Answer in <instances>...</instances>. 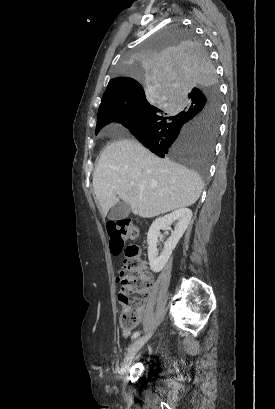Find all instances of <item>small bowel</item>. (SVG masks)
I'll list each match as a JSON object with an SVG mask.
<instances>
[{"mask_svg":"<svg viewBox=\"0 0 275 409\" xmlns=\"http://www.w3.org/2000/svg\"><path fill=\"white\" fill-rule=\"evenodd\" d=\"M115 283L118 285V284H121L122 283V278L121 277H116L115 278ZM129 335H130V332L128 331V330H125L124 332H123V336H122V339L124 340V341H127L128 339H129Z\"/></svg>","mask_w":275,"mask_h":409,"instance_id":"c3829d8e","label":"small bowel"}]
</instances>
